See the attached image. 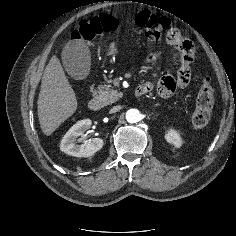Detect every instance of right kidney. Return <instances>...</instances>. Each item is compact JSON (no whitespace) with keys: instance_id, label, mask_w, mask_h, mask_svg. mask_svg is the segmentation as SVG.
<instances>
[{"instance_id":"right-kidney-1","label":"right kidney","mask_w":236,"mask_h":236,"mask_svg":"<svg viewBox=\"0 0 236 236\" xmlns=\"http://www.w3.org/2000/svg\"><path fill=\"white\" fill-rule=\"evenodd\" d=\"M92 121L84 119L73 125L64 135L60 143V150L75 157H90L99 151L104 144L100 138L84 141L81 145L76 144L77 138L82 137L84 132L90 128ZM80 141V139H79Z\"/></svg>"}]
</instances>
